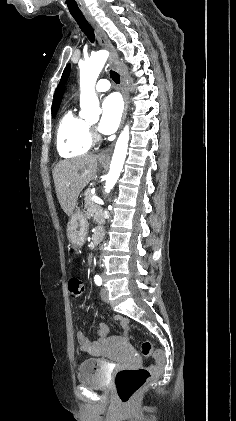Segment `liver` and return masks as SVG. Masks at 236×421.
Instances as JSON below:
<instances>
[{
	"label": "liver",
	"mask_w": 236,
	"mask_h": 421,
	"mask_svg": "<svg viewBox=\"0 0 236 421\" xmlns=\"http://www.w3.org/2000/svg\"><path fill=\"white\" fill-rule=\"evenodd\" d=\"M97 166V156L94 154H84L73 160H59L54 166L53 178L57 198L68 217L74 211L79 192L92 180Z\"/></svg>",
	"instance_id": "obj_1"
}]
</instances>
